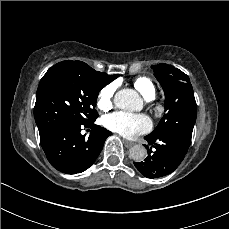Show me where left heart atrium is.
I'll list each match as a JSON object with an SVG mask.
<instances>
[{
	"mask_svg": "<svg viewBox=\"0 0 229 229\" xmlns=\"http://www.w3.org/2000/svg\"><path fill=\"white\" fill-rule=\"evenodd\" d=\"M105 126L128 138H135L148 132L152 127L151 119L144 114L114 112L105 118Z\"/></svg>",
	"mask_w": 229,
	"mask_h": 229,
	"instance_id": "left-heart-atrium-1",
	"label": "left heart atrium"
}]
</instances>
